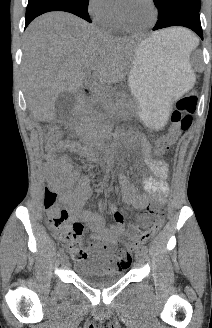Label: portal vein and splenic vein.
I'll return each mask as SVG.
<instances>
[{"mask_svg": "<svg viewBox=\"0 0 212 328\" xmlns=\"http://www.w3.org/2000/svg\"><path fill=\"white\" fill-rule=\"evenodd\" d=\"M86 68H87V70H90L91 69V66H87Z\"/></svg>", "mask_w": 212, "mask_h": 328, "instance_id": "portal-vein-and-splenic-vein-1", "label": "portal vein and splenic vein"}]
</instances>
